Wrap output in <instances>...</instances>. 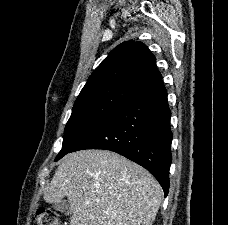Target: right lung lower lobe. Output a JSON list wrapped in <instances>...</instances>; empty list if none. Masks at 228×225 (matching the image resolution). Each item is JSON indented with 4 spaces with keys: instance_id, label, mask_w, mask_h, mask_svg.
<instances>
[{
    "instance_id": "98d812e1",
    "label": "right lung lower lobe",
    "mask_w": 228,
    "mask_h": 225,
    "mask_svg": "<svg viewBox=\"0 0 228 225\" xmlns=\"http://www.w3.org/2000/svg\"><path fill=\"white\" fill-rule=\"evenodd\" d=\"M170 117L160 75L84 135L70 152L84 149L116 152L150 171L167 196L172 160Z\"/></svg>"
}]
</instances>
